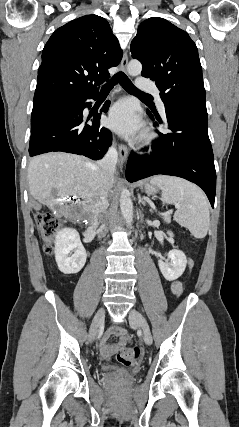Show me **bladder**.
<instances>
[{"mask_svg":"<svg viewBox=\"0 0 239 427\" xmlns=\"http://www.w3.org/2000/svg\"><path fill=\"white\" fill-rule=\"evenodd\" d=\"M107 372H114L117 374H124L123 372L119 371V370H114V369H106Z\"/></svg>","mask_w":239,"mask_h":427,"instance_id":"bladder-1","label":"bladder"}]
</instances>
